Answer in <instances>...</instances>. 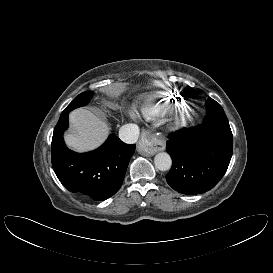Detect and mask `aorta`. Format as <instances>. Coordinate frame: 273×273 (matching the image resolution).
Listing matches in <instances>:
<instances>
[{"mask_svg": "<svg viewBox=\"0 0 273 273\" xmlns=\"http://www.w3.org/2000/svg\"><path fill=\"white\" fill-rule=\"evenodd\" d=\"M155 167L160 171H167L172 166V160L168 153H157L154 158Z\"/></svg>", "mask_w": 273, "mask_h": 273, "instance_id": "1", "label": "aorta"}]
</instances>
